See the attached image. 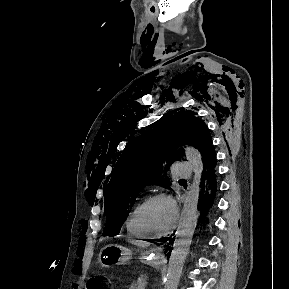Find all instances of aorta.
Masks as SVG:
<instances>
[{
    "mask_svg": "<svg viewBox=\"0 0 289 289\" xmlns=\"http://www.w3.org/2000/svg\"><path fill=\"white\" fill-rule=\"evenodd\" d=\"M185 156L192 166L194 178L189 186L181 212L176 239L169 258L164 289H177L179 285L184 262L189 252L198 219L199 185L203 171L202 157L197 149L190 146L185 148Z\"/></svg>",
    "mask_w": 289,
    "mask_h": 289,
    "instance_id": "762f6f07",
    "label": "aorta"
}]
</instances>
